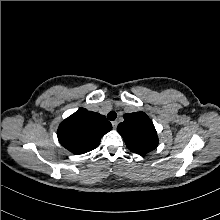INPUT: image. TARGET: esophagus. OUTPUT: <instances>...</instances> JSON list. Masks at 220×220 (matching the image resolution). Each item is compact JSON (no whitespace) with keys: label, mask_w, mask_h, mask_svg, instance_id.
Wrapping results in <instances>:
<instances>
[{"label":"esophagus","mask_w":220,"mask_h":220,"mask_svg":"<svg viewBox=\"0 0 220 220\" xmlns=\"http://www.w3.org/2000/svg\"><path fill=\"white\" fill-rule=\"evenodd\" d=\"M112 126H113L114 129H116L117 126H118V121H113L112 122Z\"/></svg>","instance_id":"1"}]
</instances>
